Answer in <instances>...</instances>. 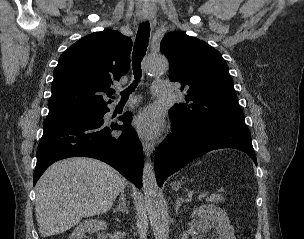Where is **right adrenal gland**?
Returning a JSON list of instances; mask_svg holds the SVG:
<instances>
[{
    "mask_svg": "<svg viewBox=\"0 0 304 239\" xmlns=\"http://www.w3.org/2000/svg\"><path fill=\"white\" fill-rule=\"evenodd\" d=\"M116 211H121L123 214H128L129 210L127 208L126 205V194L124 193V191L121 192L120 198H119V205L115 208L114 210Z\"/></svg>",
    "mask_w": 304,
    "mask_h": 239,
    "instance_id": "right-adrenal-gland-1",
    "label": "right adrenal gland"
}]
</instances>
